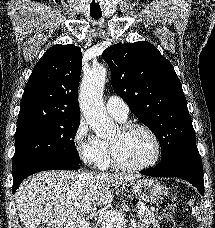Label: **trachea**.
I'll list each match as a JSON object with an SVG mask.
<instances>
[{"label": "trachea", "instance_id": "obj_1", "mask_svg": "<svg viewBox=\"0 0 215 228\" xmlns=\"http://www.w3.org/2000/svg\"><path fill=\"white\" fill-rule=\"evenodd\" d=\"M102 14H91V17L94 18L95 20H98Z\"/></svg>", "mask_w": 215, "mask_h": 228}]
</instances>
